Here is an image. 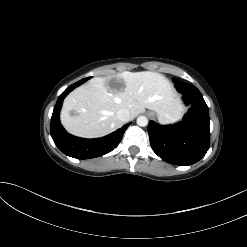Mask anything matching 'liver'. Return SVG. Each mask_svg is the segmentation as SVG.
Segmentation results:
<instances>
[{
  "mask_svg": "<svg viewBox=\"0 0 247 247\" xmlns=\"http://www.w3.org/2000/svg\"><path fill=\"white\" fill-rule=\"evenodd\" d=\"M145 108L155 111L164 124L180 120L184 112L172 84L162 74L125 71L94 77L73 90L64 100L60 120L73 135L98 138L123 125L117 117L120 109H128L133 119Z\"/></svg>",
  "mask_w": 247,
  "mask_h": 247,
  "instance_id": "liver-1",
  "label": "liver"
}]
</instances>
